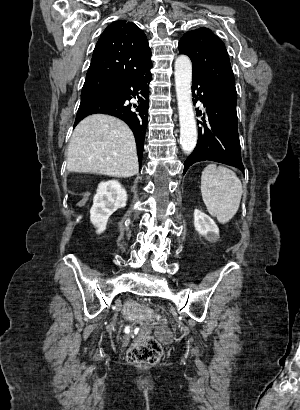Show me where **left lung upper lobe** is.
<instances>
[{
	"label": "left lung upper lobe",
	"mask_w": 300,
	"mask_h": 410,
	"mask_svg": "<svg viewBox=\"0 0 300 410\" xmlns=\"http://www.w3.org/2000/svg\"><path fill=\"white\" fill-rule=\"evenodd\" d=\"M179 53L190 57L193 75L237 100L235 78L224 43L208 28L189 31L179 41Z\"/></svg>",
	"instance_id": "obj_1"
}]
</instances>
